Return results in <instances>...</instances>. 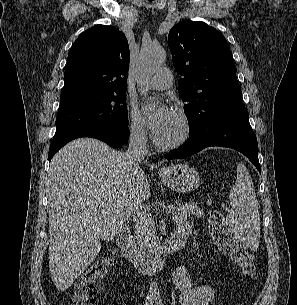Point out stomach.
<instances>
[{
    "label": "stomach",
    "instance_id": "obj_1",
    "mask_svg": "<svg viewBox=\"0 0 297 305\" xmlns=\"http://www.w3.org/2000/svg\"><path fill=\"white\" fill-rule=\"evenodd\" d=\"M159 176L167 187L178 193L193 191L200 184L198 172L185 164L163 167Z\"/></svg>",
    "mask_w": 297,
    "mask_h": 305
}]
</instances>
